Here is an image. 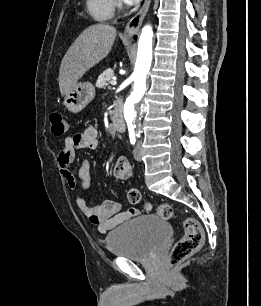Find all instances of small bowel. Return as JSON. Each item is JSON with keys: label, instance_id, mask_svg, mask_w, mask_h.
<instances>
[{"label": "small bowel", "instance_id": "obj_1", "mask_svg": "<svg viewBox=\"0 0 261 306\" xmlns=\"http://www.w3.org/2000/svg\"><path fill=\"white\" fill-rule=\"evenodd\" d=\"M98 148L99 133L97 128L93 126H89L82 132L65 138L64 148L60 151L57 161L61 174L70 188L74 189L80 186L81 190L85 191L91 182V165L88 160L82 161L77 176L72 172L70 166L74 161L75 150H97ZM76 205L101 233L115 228L137 214L136 209L121 211V205L109 199L103 200L97 205H90L82 194L76 197Z\"/></svg>", "mask_w": 261, "mask_h": 306}]
</instances>
